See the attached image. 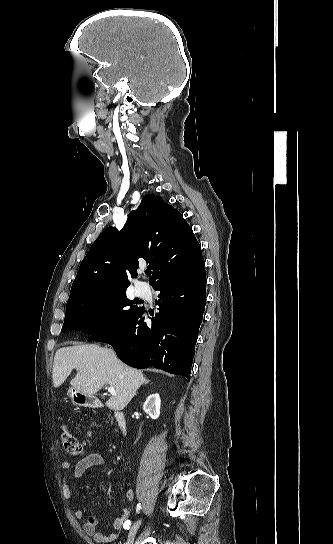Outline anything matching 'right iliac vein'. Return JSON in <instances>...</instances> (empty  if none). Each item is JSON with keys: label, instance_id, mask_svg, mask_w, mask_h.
I'll list each match as a JSON object with an SVG mask.
<instances>
[{"label": "right iliac vein", "instance_id": "obj_1", "mask_svg": "<svg viewBox=\"0 0 333 544\" xmlns=\"http://www.w3.org/2000/svg\"><path fill=\"white\" fill-rule=\"evenodd\" d=\"M141 525V519L137 520L132 527L130 528V531L128 533L126 544H133L136 533Z\"/></svg>", "mask_w": 333, "mask_h": 544}]
</instances>
